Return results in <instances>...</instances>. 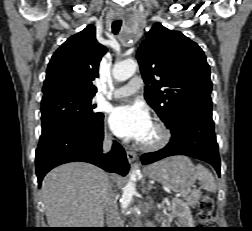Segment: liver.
Masks as SVG:
<instances>
[{
    "instance_id": "6515ba94",
    "label": "liver",
    "mask_w": 252,
    "mask_h": 231,
    "mask_svg": "<svg viewBox=\"0 0 252 231\" xmlns=\"http://www.w3.org/2000/svg\"><path fill=\"white\" fill-rule=\"evenodd\" d=\"M106 172L91 164L72 162L50 171L42 195L50 228H102Z\"/></svg>"
}]
</instances>
